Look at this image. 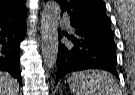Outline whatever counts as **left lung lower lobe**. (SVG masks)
I'll return each mask as SVG.
<instances>
[{"instance_id":"obj_1","label":"left lung lower lobe","mask_w":135,"mask_h":95,"mask_svg":"<svg viewBox=\"0 0 135 95\" xmlns=\"http://www.w3.org/2000/svg\"><path fill=\"white\" fill-rule=\"evenodd\" d=\"M58 33L60 39L63 34L71 43H59L55 84L66 74L85 69L106 70L119 78L116 70L114 35L75 32V35L71 36L60 29Z\"/></svg>"}]
</instances>
